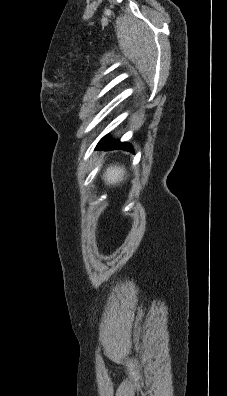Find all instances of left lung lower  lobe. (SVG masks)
I'll return each mask as SVG.
<instances>
[{
	"label": "left lung lower lobe",
	"instance_id": "1",
	"mask_svg": "<svg viewBox=\"0 0 227 396\" xmlns=\"http://www.w3.org/2000/svg\"><path fill=\"white\" fill-rule=\"evenodd\" d=\"M96 149H104V150H110V149H123L126 151H132V146L127 143H121L118 140H113L109 139L108 135L103 137L100 142L97 144Z\"/></svg>",
	"mask_w": 227,
	"mask_h": 396
}]
</instances>
